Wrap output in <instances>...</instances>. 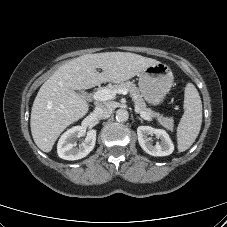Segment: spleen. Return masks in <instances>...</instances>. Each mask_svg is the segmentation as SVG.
<instances>
[{
	"mask_svg": "<svg viewBox=\"0 0 227 227\" xmlns=\"http://www.w3.org/2000/svg\"><path fill=\"white\" fill-rule=\"evenodd\" d=\"M202 124V102L196 87L187 83L184 91V114L177 127L178 151L184 152L196 140Z\"/></svg>",
	"mask_w": 227,
	"mask_h": 227,
	"instance_id": "1",
	"label": "spleen"
}]
</instances>
